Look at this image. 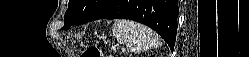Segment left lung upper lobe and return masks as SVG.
I'll return each instance as SVG.
<instances>
[{
	"instance_id": "5c2ea615",
	"label": "left lung upper lobe",
	"mask_w": 249,
	"mask_h": 57,
	"mask_svg": "<svg viewBox=\"0 0 249 57\" xmlns=\"http://www.w3.org/2000/svg\"><path fill=\"white\" fill-rule=\"evenodd\" d=\"M111 0H70L64 15V27L79 25L91 19L102 11Z\"/></svg>"
}]
</instances>
